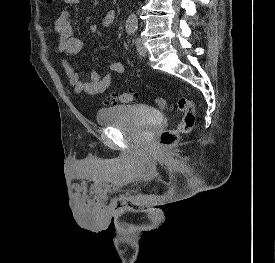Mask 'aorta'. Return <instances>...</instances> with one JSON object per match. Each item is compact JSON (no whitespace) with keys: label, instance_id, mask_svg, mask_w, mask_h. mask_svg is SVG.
I'll return each instance as SVG.
<instances>
[{"label":"aorta","instance_id":"762f6f07","mask_svg":"<svg viewBox=\"0 0 275 263\" xmlns=\"http://www.w3.org/2000/svg\"><path fill=\"white\" fill-rule=\"evenodd\" d=\"M138 25V19L135 14H131L126 20V27L130 29H135Z\"/></svg>","mask_w":275,"mask_h":263}]
</instances>
